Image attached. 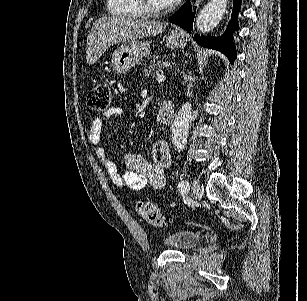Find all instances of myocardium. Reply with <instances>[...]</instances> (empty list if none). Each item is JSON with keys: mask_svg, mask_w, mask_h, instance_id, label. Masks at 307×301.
<instances>
[{"mask_svg": "<svg viewBox=\"0 0 307 301\" xmlns=\"http://www.w3.org/2000/svg\"><path fill=\"white\" fill-rule=\"evenodd\" d=\"M138 4L136 5L138 17H146L147 22H154L155 18H160L161 14L167 17V12L169 11V4H156L155 0H136ZM146 3V4H144ZM146 5V6H145Z\"/></svg>", "mask_w": 307, "mask_h": 301, "instance_id": "f54148a6", "label": "myocardium"}]
</instances>
